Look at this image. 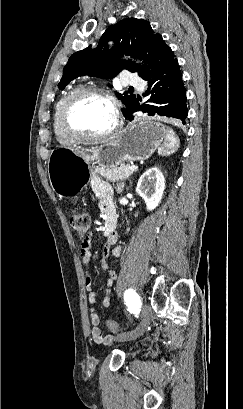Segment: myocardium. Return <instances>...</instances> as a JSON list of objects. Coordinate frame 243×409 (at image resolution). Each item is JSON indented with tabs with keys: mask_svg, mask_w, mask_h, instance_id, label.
I'll list each match as a JSON object with an SVG mask.
<instances>
[{
	"mask_svg": "<svg viewBox=\"0 0 243 409\" xmlns=\"http://www.w3.org/2000/svg\"><path fill=\"white\" fill-rule=\"evenodd\" d=\"M95 97L105 101L111 108L113 114L112 127L97 135H87L79 131L72 123V113L75 105L82 99ZM61 123L64 131L75 141L79 142H99L104 141L118 132L121 126L120 113L117 102L108 92L98 88H81L72 93L64 103L61 113Z\"/></svg>",
	"mask_w": 243,
	"mask_h": 409,
	"instance_id": "1",
	"label": "myocardium"
}]
</instances>
